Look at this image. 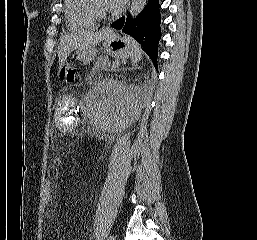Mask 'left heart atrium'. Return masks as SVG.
<instances>
[{
	"label": "left heart atrium",
	"instance_id": "39dd6f15",
	"mask_svg": "<svg viewBox=\"0 0 257 240\" xmlns=\"http://www.w3.org/2000/svg\"><path fill=\"white\" fill-rule=\"evenodd\" d=\"M108 7L110 10H121L125 4L127 3V0H107Z\"/></svg>",
	"mask_w": 257,
	"mask_h": 240
}]
</instances>
